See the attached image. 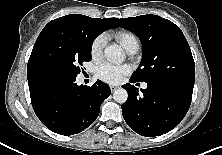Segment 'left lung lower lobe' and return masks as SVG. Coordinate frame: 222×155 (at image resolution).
<instances>
[{"label": "left lung lower lobe", "instance_id": "obj_1", "mask_svg": "<svg viewBox=\"0 0 222 155\" xmlns=\"http://www.w3.org/2000/svg\"><path fill=\"white\" fill-rule=\"evenodd\" d=\"M131 83L137 82L130 78ZM128 92V100L122 105L125 122L136 133L154 137L175 128L186 115L193 89L167 82L147 83L146 89L131 84L122 86Z\"/></svg>", "mask_w": 222, "mask_h": 155}]
</instances>
